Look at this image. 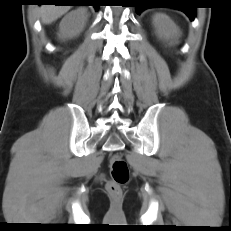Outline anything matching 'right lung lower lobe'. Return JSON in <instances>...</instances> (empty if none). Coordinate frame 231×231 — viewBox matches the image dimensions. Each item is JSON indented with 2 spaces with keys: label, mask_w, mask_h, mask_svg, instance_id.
I'll use <instances>...</instances> for the list:
<instances>
[{
  "label": "right lung lower lobe",
  "mask_w": 231,
  "mask_h": 231,
  "mask_svg": "<svg viewBox=\"0 0 231 231\" xmlns=\"http://www.w3.org/2000/svg\"><path fill=\"white\" fill-rule=\"evenodd\" d=\"M40 4L42 3H55L56 5H79V0H38ZM90 5V4H88ZM96 10H98L99 6L93 5Z\"/></svg>",
  "instance_id": "1"
}]
</instances>
